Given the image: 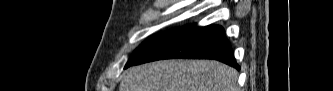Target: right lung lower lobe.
<instances>
[{
  "label": "right lung lower lobe",
  "mask_w": 333,
  "mask_h": 91,
  "mask_svg": "<svg viewBox=\"0 0 333 91\" xmlns=\"http://www.w3.org/2000/svg\"><path fill=\"white\" fill-rule=\"evenodd\" d=\"M174 58L214 59L240 69L224 29L218 25L182 27L132 65Z\"/></svg>",
  "instance_id": "right-lung-lower-lobe-1"
}]
</instances>
